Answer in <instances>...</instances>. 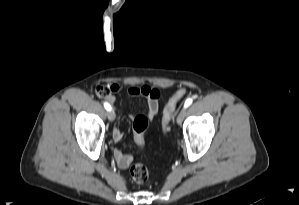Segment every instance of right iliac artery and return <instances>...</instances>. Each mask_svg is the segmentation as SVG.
<instances>
[{
    "instance_id": "1",
    "label": "right iliac artery",
    "mask_w": 299,
    "mask_h": 205,
    "mask_svg": "<svg viewBox=\"0 0 299 205\" xmlns=\"http://www.w3.org/2000/svg\"><path fill=\"white\" fill-rule=\"evenodd\" d=\"M104 107L106 110L110 111L111 110V106L110 104H108L107 102L104 103Z\"/></svg>"
}]
</instances>
